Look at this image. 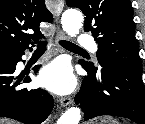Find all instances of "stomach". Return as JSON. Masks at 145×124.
I'll return each instance as SVG.
<instances>
[{
  "label": "stomach",
  "mask_w": 145,
  "mask_h": 124,
  "mask_svg": "<svg viewBox=\"0 0 145 124\" xmlns=\"http://www.w3.org/2000/svg\"><path fill=\"white\" fill-rule=\"evenodd\" d=\"M89 124H119V123L110 117H103L98 121Z\"/></svg>",
  "instance_id": "obj_1"
}]
</instances>
